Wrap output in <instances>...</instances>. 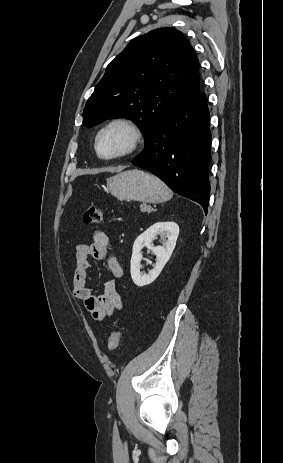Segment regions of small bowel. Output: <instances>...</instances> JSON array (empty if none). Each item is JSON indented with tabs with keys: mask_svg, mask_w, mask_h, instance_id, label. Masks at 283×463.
Returning a JSON list of instances; mask_svg holds the SVG:
<instances>
[{
	"mask_svg": "<svg viewBox=\"0 0 283 463\" xmlns=\"http://www.w3.org/2000/svg\"><path fill=\"white\" fill-rule=\"evenodd\" d=\"M110 248V238L101 229L93 232L91 243L76 246L73 295L83 302L92 318L97 321L112 316L123 307V300L116 287V279L124 276V269L116 256L109 253ZM88 257L96 260L106 259L112 276V279L106 282L103 294L98 296L92 294L87 286V276L90 270Z\"/></svg>",
	"mask_w": 283,
	"mask_h": 463,
	"instance_id": "c3829d8e",
	"label": "small bowel"
}]
</instances>
